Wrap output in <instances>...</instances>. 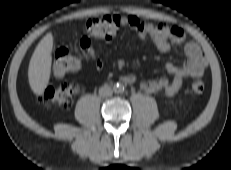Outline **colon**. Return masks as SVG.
Masks as SVG:
<instances>
[{
	"instance_id": "obj_1",
	"label": "colon",
	"mask_w": 231,
	"mask_h": 170,
	"mask_svg": "<svg viewBox=\"0 0 231 170\" xmlns=\"http://www.w3.org/2000/svg\"><path fill=\"white\" fill-rule=\"evenodd\" d=\"M125 23L126 17L106 14L89 19L85 26V32L93 38L111 39L121 27H124ZM79 66V59L67 48L61 47L55 51L53 72L56 76L61 77L72 73ZM204 88V82L198 79L191 84L190 90L193 94L198 95L204 91ZM79 91L80 87L77 84L62 83L45 89L38 95L37 100L42 104L69 108Z\"/></svg>"
}]
</instances>
